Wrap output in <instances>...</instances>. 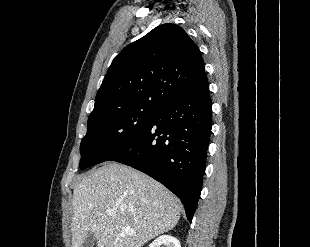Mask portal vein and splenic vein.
<instances>
[{
	"label": "portal vein and splenic vein",
	"instance_id": "18ae733b",
	"mask_svg": "<svg viewBox=\"0 0 310 247\" xmlns=\"http://www.w3.org/2000/svg\"><path fill=\"white\" fill-rule=\"evenodd\" d=\"M106 213L109 216L113 215V211L112 210H107ZM124 229L130 235L135 234V232L133 230H130V228H128V227H125Z\"/></svg>",
	"mask_w": 310,
	"mask_h": 247
}]
</instances>
